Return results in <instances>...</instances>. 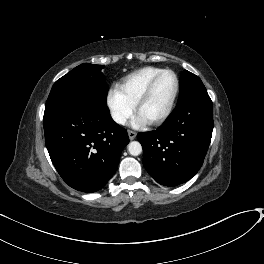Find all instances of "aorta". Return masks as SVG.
<instances>
[{
  "label": "aorta",
  "instance_id": "762f6f07",
  "mask_svg": "<svg viewBox=\"0 0 264 264\" xmlns=\"http://www.w3.org/2000/svg\"><path fill=\"white\" fill-rule=\"evenodd\" d=\"M128 152L132 156H138L142 152V146L138 141H132L128 144Z\"/></svg>",
  "mask_w": 264,
  "mask_h": 264
}]
</instances>
